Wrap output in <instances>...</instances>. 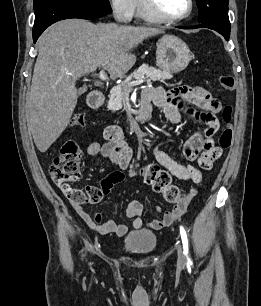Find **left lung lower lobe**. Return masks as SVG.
<instances>
[{
    "instance_id": "1",
    "label": "left lung lower lobe",
    "mask_w": 261,
    "mask_h": 306,
    "mask_svg": "<svg viewBox=\"0 0 261 306\" xmlns=\"http://www.w3.org/2000/svg\"><path fill=\"white\" fill-rule=\"evenodd\" d=\"M199 27H207L209 29H213L215 31H217L218 33H220L221 35L224 36L225 40L228 41L229 37H230V29L229 30H224L221 28H217V27H212V26H205V25H197L195 27L190 26V27H182L183 29H193V28H199ZM181 28V27H180Z\"/></svg>"
}]
</instances>
